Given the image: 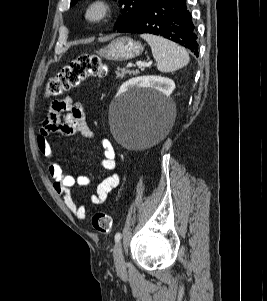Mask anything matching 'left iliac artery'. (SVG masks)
Returning a JSON list of instances; mask_svg holds the SVG:
<instances>
[{"label":"left iliac artery","instance_id":"44dca946","mask_svg":"<svg viewBox=\"0 0 267 301\" xmlns=\"http://www.w3.org/2000/svg\"><path fill=\"white\" fill-rule=\"evenodd\" d=\"M121 237H122L121 233H119V232L116 233L115 234V241L118 242L121 239Z\"/></svg>","mask_w":267,"mask_h":301}]
</instances>
